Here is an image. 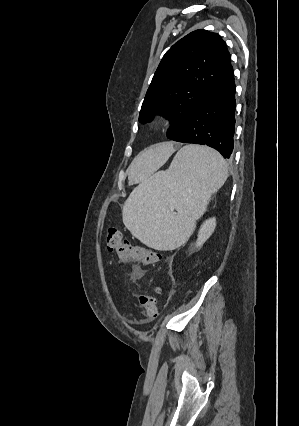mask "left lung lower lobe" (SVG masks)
Here are the masks:
<instances>
[{"label":"left lung lower lobe","instance_id":"left-lung-lower-lobe-1","mask_svg":"<svg viewBox=\"0 0 299 426\" xmlns=\"http://www.w3.org/2000/svg\"><path fill=\"white\" fill-rule=\"evenodd\" d=\"M235 83L233 67L214 90L193 110L173 141L210 146L224 158L233 151L235 130Z\"/></svg>","mask_w":299,"mask_h":426}]
</instances>
